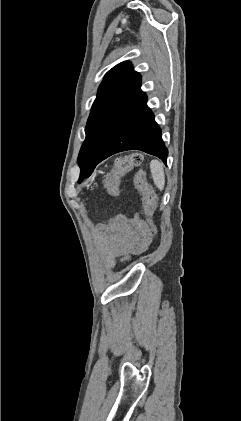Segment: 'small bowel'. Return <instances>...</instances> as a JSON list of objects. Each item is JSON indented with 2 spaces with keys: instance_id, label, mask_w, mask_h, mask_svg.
I'll list each match as a JSON object with an SVG mask.
<instances>
[{
  "instance_id": "small-bowel-1",
  "label": "small bowel",
  "mask_w": 241,
  "mask_h": 421,
  "mask_svg": "<svg viewBox=\"0 0 241 421\" xmlns=\"http://www.w3.org/2000/svg\"><path fill=\"white\" fill-rule=\"evenodd\" d=\"M97 240L107 266L111 267L118 257L145 252L151 235L138 218L116 217L99 227Z\"/></svg>"
}]
</instances>
